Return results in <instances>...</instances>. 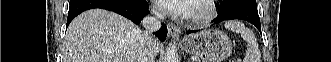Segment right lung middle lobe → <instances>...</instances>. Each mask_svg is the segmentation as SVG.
I'll return each mask as SVG.
<instances>
[{
    "label": "right lung middle lobe",
    "instance_id": "obj_1",
    "mask_svg": "<svg viewBox=\"0 0 331 62\" xmlns=\"http://www.w3.org/2000/svg\"><path fill=\"white\" fill-rule=\"evenodd\" d=\"M123 1H126V2H131V1H135V0H123Z\"/></svg>",
    "mask_w": 331,
    "mask_h": 62
}]
</instances>
